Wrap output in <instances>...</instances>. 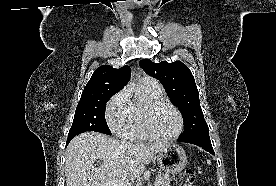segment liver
<instances>
[{"instance_id":"liver-1","label":"liver","mask_w":276,"mask_h":186,"mask_svg":"<svg viewBox=\"0 0 276 186\" xmlns=\"http://www.w3.org/2000/svg\"><path fill=\"white\" fill-rule=\"evenodd\" d=\"M167 146L120 141L97 132L81 133L66 148V186H101L112 181L133 184ZM97 160L102 161L100 167L94 165Z\"/></svg>"}]
</instances>
